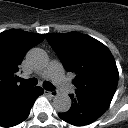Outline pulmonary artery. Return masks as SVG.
<instances>
[{
    "label": "pulmonary artery",
    "mask_w": 128,
    "mask_h": 128,
    "mask_svg": "<svg viewBox=\"0 0 128 128\" xmlns=\"http://www.w3.org/2000/svg\"><path fill=\"white\" fill-rule=\"evenodd\" d=\"M42 77L52 79L65 94H73L75 92V88L66 79L63 67L58 61H52L42 73Z\"/></svg>",
    "instance_id": "obj_1"
}]
</instances>
